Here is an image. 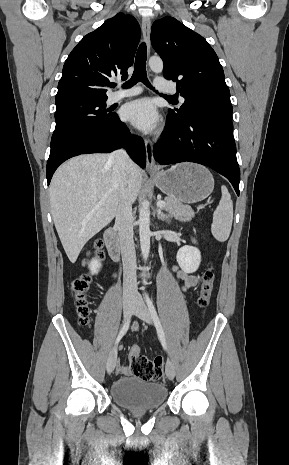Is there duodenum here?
Segmentation results:
<instances>
[{
  "mask_svg": "<svg viewBox=\"0 0 289 465\" xmlns=\"http://www.w3.org/2000/svg\"><path fill=\"white\" fill-rule=\"evenodd\" d=\"M104 240L107 246L110 257L114 261H119L121 258V247L116 235V232L112 227H108L104 233Z\"/></svg>",
  "mask_w": 289,
  "mask_h": 465,
  "instance_id": "obj_1",
  "label": "duodenum"
}]
</instances>
